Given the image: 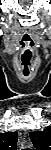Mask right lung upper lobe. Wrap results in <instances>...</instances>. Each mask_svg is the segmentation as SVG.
<instances>
[{
  "label": "right lung upper lobe",
  "mask_w": 51,
  "mask_h": 150,
  "mask_svg": "<svg viewBox=\"0 0 51 150\" xmlns=\"http://www.w3.org/2000/svg\"><path fill=\"white\" fill-rule=\"evenodd\" d=\"M17 132L0 134V150H16Z\"/></svg>",
  "instance_id": "1"
}]
</instances>
